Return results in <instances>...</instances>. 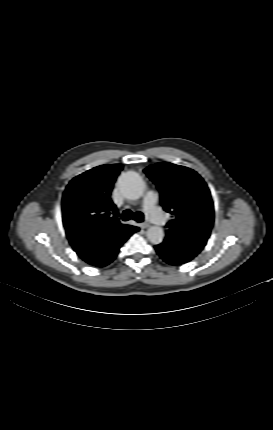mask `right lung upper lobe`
I'll return each instance as SVG.
<instances>
[{
	"mask_svg": "<svg viewBox=\"0 0 273 430\" xmlns=\"http://www.w3.org/2000/svg\"><path fill=\"white\" fill-rule=\"evenodd\" d=\"M120 164L101 165L70 181L62 198L66 235L76 253L88 261L107 239L129 237L137 227L122 224L110 195L122 170Z\"/></svg>",
	"mask_w": 273,
	"mask_h": 430,
	"instance_id": "obj_1",
	"label": "right lung upper lobe"
}]
</instances>
